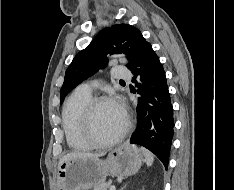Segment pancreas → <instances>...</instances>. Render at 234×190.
I'll return each instance as SVG.
<instances>
[{"mask_svg":"<svg viewBox=\"0 0 234 190\" xmlns=\"http://www.w3.org/2000/svg\"><path fill=\"white\" fill-rule=\"evenodd\" d=\"M110 185H111V182L102 183L94 187L93 190H107L110 187Z\"/></svg>","mask_w":234,"mask_h":190,"instance_id":"obj_1","label":"pancreas"}]
</instances>
